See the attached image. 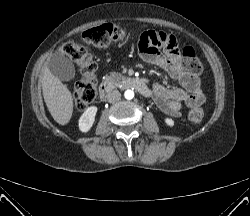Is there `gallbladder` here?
Masks as SVG:
<instances>
[{
    "label": "gallbladder",
    "mask_w": 250,
    "mask_h": 216,
    "mask_svg": "<svg viewBox=\"0 0 250 216\" xmlns=\"http://www.w3.org/2000/svg\"><path fill=\"white\" fill-rule=\"evenodd\" d=\"M48 68L54 76L63 81L75 77L74 64L63 53H54L48 62Z\"/></svg>",
    "instance_id": "obj_1"
}]
</instances>
